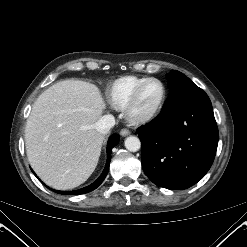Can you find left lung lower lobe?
Listing matches in <instances>:
<instances>
[{
	"label": "left lung lower lobe",
	"instance_id": "0a47b994",
	"mask_svg": "<svg viewBox=\"0 0 247 247\" xmlns=\"http://www.w3.org/2000/svg\"><path fill=\"white\" fill-rule=\"evenodd\" d=\"M137 132L143 170L160 187L186 189L214 161L218 128L211 101L199 87L171 94L160 114Z\"/></svg>",
	"mask_w": 247,
	"mask_h": 247
}]
</instances>
